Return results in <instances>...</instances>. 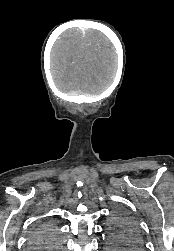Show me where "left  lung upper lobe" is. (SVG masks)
Instances as JSON below:
<instances>
[{
    "label": "left lung upper lobe",
    "mask_w": 174,
    "mask_h": 251,
    "mask_svg": "<svg viewBox=\"0 0 174 251\" xmlns=\"http://www.w3.org/2000/svg\"><path fill=\"white\" fill-rule=\"evenodd\" d=\"M110 240L114 244L126 242L134 247L142 245L138 225L134 219L124 211H116L111 224Z\"/></svg>",
    "instance_id": "left-lung-upper-lobe-1"
}]
</instances>
